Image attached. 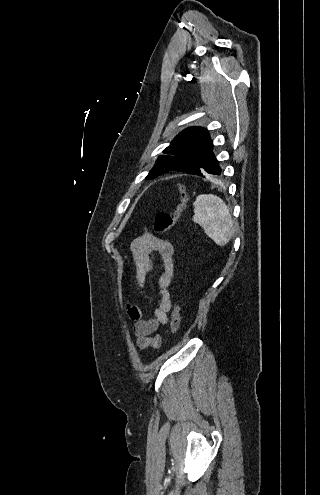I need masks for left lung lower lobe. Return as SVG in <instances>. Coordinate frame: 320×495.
I'll list each match as a JSON object with an SVG mask.
<instances>
[{"instance_id": "1", "label": "left lung lower lobe", "mask_w": 320, "mask_h": 495, "mask_svg": "<svg viewBox=\"0 0 320 495\" xmlns=\"http://www.w3.org/2000/svg\"><path fill=\"white\" fill-rule=\"evenodd\" d=\"M185 173L205 178L208 175H220L221 168L212 151L211 153L206 155L200 163L185 171Z\"/></svg>"}]
</instances>
